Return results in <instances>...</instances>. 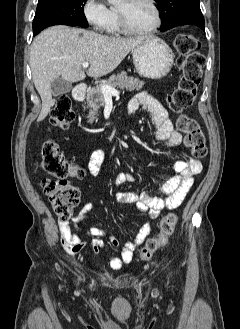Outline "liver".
Wrapping results in <instances>:
<instances>
[{
  "label": "liver",
  "instance_id": "6515ba94",
  "mask_svg": "<svg viewBox=\"0 0 240 329\" xmlns=\"http://www.w3.org/2000/svg\"><path fill=\"white\" fill-rule=\"evenodd\" d=\"M143 38H116L64 25L49 27L33 41L30 51L32 78L41 100L38 121L55 104L51 83L60 76L68 82L85 79L82 63L89 62L86 74L102 77L112 72L141 43Z\"/></svg>",
  "mask_w": 240,
  "mask_h": 329
}]
</instances>
